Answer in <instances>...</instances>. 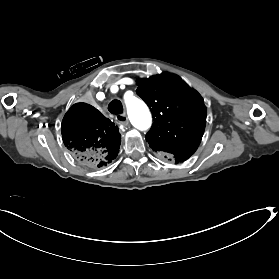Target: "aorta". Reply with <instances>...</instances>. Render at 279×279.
<instances>
[{"label": "aorta", "mask_w": 279, "mask_h": 279, "mask_svg": "<svg viewBox=\"0 0 279 279\" xmlns=\"http://www.w3.org/2000/svg\"><path fill=\"white\" fill-rule=\"evenodd\" d=\"M128 117L138 130H147L152 123L151 113L147 105L135 96L125 98Z\"/></svg>", "instance_id": "1"}]
</instances>
